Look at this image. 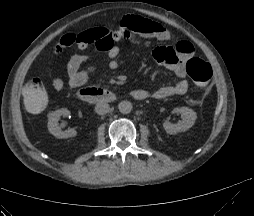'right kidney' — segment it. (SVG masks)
I'll list each match as a JSON object with an SVG mask.
<instances>
[{
	"mask_svg": "<svg viewBox=\"0 0 254 216\" xmlns=\"http://www.w3.org/2000/svg\"><path fill=\"white\" fill-rule=\"evenodd\" d=\"M69 113L70 111L67 108H61L48 114V130L59 139L75 137L77 135V131L75 129L70 128L62 131L58 124L59 118L61 116H67Z\"/></svg>",
	"mask_w": 254,
	"mask_h": 216,
	"instance_id": "1",
	"label": "right kidney"
}]
</instances>
